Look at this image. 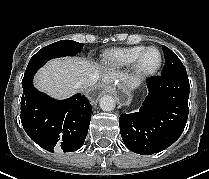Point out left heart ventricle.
<instances>
[{"label": "left heart ventricle", "mask_w": 209, "mask_h": 179, "mask_svg": "<svg viewBox=\"0 0 209 179\" xmlns=\"http://www.w3.org/2000/svg\"><path fill=\"white\" fill-rule=\"evenodd\" d=\"M159 61V53L156 50H149L142 59V68L143 69H152L154 68Z\"/></svg>", "instance_id": "left-heart-ventricle-1"}]
</instances>
